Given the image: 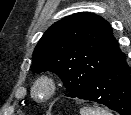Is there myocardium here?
<instances>
[{
  "instance_id": "1",
  "label": "myocardium",
  "mask_w": 131,
  "mask_h": 115,
  "mask_svg": "<svg viewBox=\"0 0 131 115\" xmlns=\"http://www.w3.org/2000/svg\"><path fill=\"white\" fill-rule=\"evenodd\" d=\"M41 85L45 87L46 92L44 96L39 97L38 87ZM56 89H57V84L55 78L47 74H42L38 76L32 84V95L35 98H39L41 102H46L53 97V95L56 92Z\"/></svg>"
}]
</instances>
